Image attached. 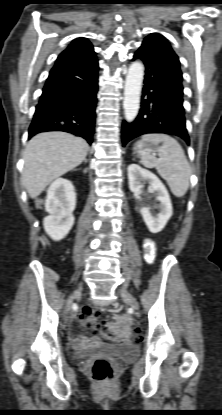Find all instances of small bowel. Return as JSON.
Returning <instances> with one entry per match:
<instances>
[{
    "instance_id": "obj_1",
    "label": "small bowel",
    "mask_w": 222,
    "mask_h": 415,
    "mask_svg": "<svg viewBox=\"0 0 222 415\" xmlns=\"http://www.w3.org/2000/svg\"><path fill=\"white\" fill-rule=\"evenodd\" d=\"M144 248L146 257L149 261H152L155 258V250H156V244L152 239H145L144 240ZM124 317H121L120 320H124ZM84 342L83 338L77 339L75 343H82Z\"/></svg>"
}]
</instances>
